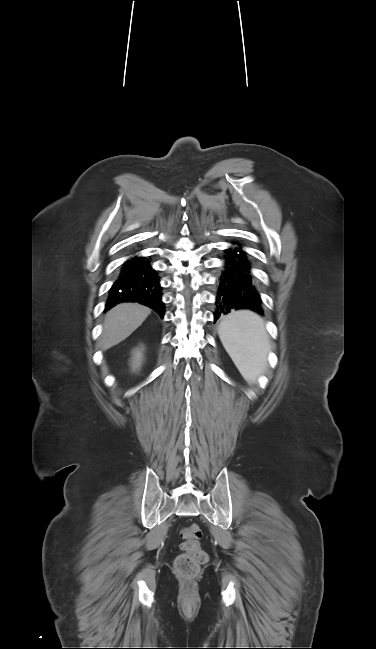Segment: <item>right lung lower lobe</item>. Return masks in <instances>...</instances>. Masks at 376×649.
Listing matches in <instances>:
<instances>
[{
	"mask_svg": "<svg viewBox=\"0 0 376 649\" xmlns=\"http://www.w3.org/2000/svg\"><path fill=\"white\" fill-rule=\"evenodd\" d=\"M120 302H138L164 315L158 274L148 259L135 256L123 264L118 279L110 289L106 307L111 308Z\"/></svg>",
	"mask_w": 376,
	"mask_h": 649,
	"instance_id": "right-lung-lower-lobe-1",
	"label": "right lung lower lobe"
}]
</instances>
